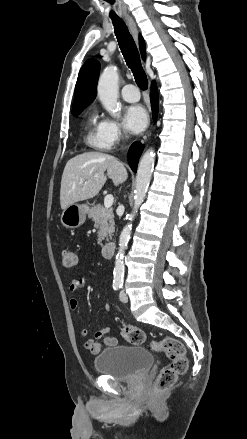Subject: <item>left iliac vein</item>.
<instances>
[{"label": "left iliac vein", "mask_w": 247, "mask_h": 439, "mask_svg": "<svg viewBox=\"0 0 247 439\" xmlns=\"http://www.w3.org/2000/svg\"><path fill=\"white\" fill-rule=\"evenodd\" d=\"M119 297L122 302L124 303L128 302V296L124 290L120 291Z\"/></svg>", "instance_id": "left-iliac-vein-1"}]
</instances>
